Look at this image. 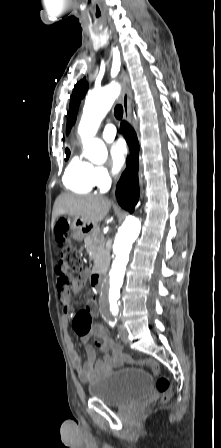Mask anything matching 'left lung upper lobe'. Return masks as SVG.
<instances>
[{
	"label": "left lung upper lobe",
	"instance_id": "left-lung-upper-lobe-1",
	"mask_svg": "<svg viewBox=\"0 0 221 448\" xmlns=\"http://www.w3.org/2000/svg\"><path fill=\"white\" fill-rule=\"evenodd\" d=\"M87 88H88V84H87L85 78L83 80H81L80 82H78L74 87L73 94L70 99L69 118H68V123H67L68 130H70L71 126L76 121L79 103H80L81 99L84 97V95L86 94Z\"/></svg>",
	"mask_w": 221,
	"mask_h": 448
}]
</instances>
